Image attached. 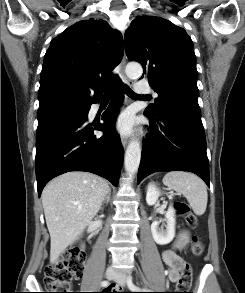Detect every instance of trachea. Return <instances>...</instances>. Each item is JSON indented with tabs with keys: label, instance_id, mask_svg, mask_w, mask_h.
<instances>
[{
	"label": "trachea",
	"instance_id": "obj_1",
	"mask_svg": "<svg viewBox=\"0 0 245 293\" xmlns=\"http://www.w3.org/2000/svg\"><path fill=\"white\" fill-rule=\"evenodd\" d=\"M124 91L128 97H148L147 95H137L134 91L127 85L124 86ZM112 94L110 92H106L104 98H111Z\"/></svg>",
	"mask_w": 245,
	"mask_h": 293
}]
</instances>
